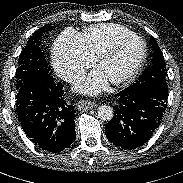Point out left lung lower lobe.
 I'll return each mask as SVG.
<instances>
[{"mask_svg":"<svg viewBox=\"0 0 183 183\" xmlns=\"http://www.w3.org/2000/svg\"><path fill=\"white\" fill-rule=\"evenodd\" d=\"M115 114L105 127L107 138L122 149H134L146 143L161 124L166 101L133 93L129 88L118 94Z\"/></svg>","mask_w":183,"mask_h":183,"instance_id":"left-lung-lower-lobe-1","label":"left lung lower lobe"}]
</instances>
